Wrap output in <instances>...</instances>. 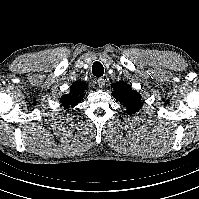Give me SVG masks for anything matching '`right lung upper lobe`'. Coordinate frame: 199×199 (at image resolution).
<instances>
[{
  "instance_id": "right-lung-upper-lobe-1",
  "label": "right lung upper lobe",
  "mask_w": 199,
  "mask_h": 199,
  "mask_svg": "<svg viewBox=\"0 0 199 199\" xmlns=\"http://www.w3.org/2000/svg\"><path fill=\"white\" fill-rule=\"evenodd\" d=\"M87 88V84L81 81H76L72 84L70 88V94L63 95L60 99V102L64 106L65 109H68L80 102V100L84 97V90Z\"/></svg>"
}]
</instances>
